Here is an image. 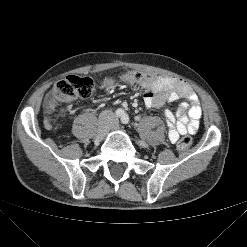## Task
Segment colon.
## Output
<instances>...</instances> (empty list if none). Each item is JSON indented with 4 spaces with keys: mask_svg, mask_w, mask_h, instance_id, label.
<instances>
[{
    "mask_svg": "<svg viewBox=\"0 0 247 247\" xmlns=\"http://www.w3.org/2000/svg\"><path fill=\"white\" fill-rule=\"evenodd\" d=\"M158 78L153 75L140 71H129L121 76V81L125 84H149L155 82ZM93 91V81L89 77L71 75L57 82L53 88L52 95L46 104L47 111L57 112L58 117L64 115L62 109H57L60 102L73 101L78 98H86ZM52 120L49 121V127H53ZM192 138L185 136L179 140L177 146L184 150L191 146Z\"/></svg>",
    "mask_w": 247,
    "mask_h": 247,
    "instance_id": "1",
    "label": "colon"
}]
</instances>
